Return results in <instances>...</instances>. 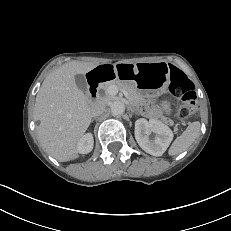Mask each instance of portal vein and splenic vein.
I'll list each match as a JSON object with an SVG mask.
<instances>
[{
	"label": "portal vein and splenic vein",
	"instance_id": "obj_1",
	"mask_svg": "<svg viewBox=\"0 0 231 231\" xmlns=\"http://www.w3.org/2000/svg\"><path fill=\"white\" fill-rule=\"evenodd\" d=\"M118 91H119L118 87L113 85V86H110L108 88L107 93L109 95H116L118 93ZM123 94H124L125 97H128V92L127 91L123 90Z\"/></svg>",
	"mask_w": 231,
	"mask_h": 231
}]
</instances>
